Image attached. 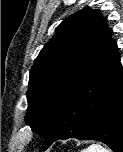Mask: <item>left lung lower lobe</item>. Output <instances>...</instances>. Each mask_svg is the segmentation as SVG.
Wrapping results in <instances>:
<instances>
[{
    "instance_id": "1",
    "label": "left lung lower lobe",
    "mask_w": 123,
    "mask_h": 152,
    "mask_svg": "<svg viewBox=\"0 0 123 152\" xmlns=\"http://www.w3.org/2000/svg\"><path fill=\"white\" fill-rule=\"evenodd\" d=\"M68 138L101 141L123 152V69L114 40L60 103L40 150Z\"/></svg>"
}]
</instances>
